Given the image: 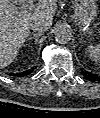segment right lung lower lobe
Here are the masks:
<instances>
[{"label": "right lung lower lobe", "mask_w": 100, "mask_h": 118, "mask_svg": "<svg viewBox=\"0 0 100 118\" xmlns=\"http://www.w3.org/2000/svg\"><path fill=\"white\" fill-rule=\"evenodd\" d=\"M34 69H35V68H32V69L27 70V71H24V72H22V73H17L16 76L24 77V76L29 75L30 73H32Z\"/></svg>", "instance_id": "98d812e1"}]
</instances>
